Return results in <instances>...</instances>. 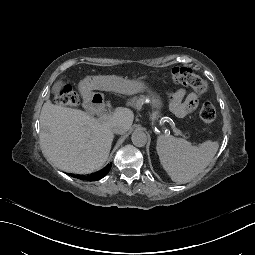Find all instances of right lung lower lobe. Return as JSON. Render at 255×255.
<instances>
[{"instance_id": "right-lung-lower-lobe-1", "label": "right lung lower lobe", "mask_w": 255, "mask_h": 255, "mask_svg": "<svg viewBox=\"0 0 255 255\" xmlns=\"http://www.w3.org/2000/svg\"><path fill=\"white\" fill-rule=\"evenodd\" d=\"M71 176L72 177H75V176H73L72 174H71ZM105 175H102L100 178H97L96 180H87V181H97V180H99V179H101V178H103ZM75 178H79V177H75ZM79 179H81V178H79ZM83 180V179H82Z\"/></svg>"}]
</instances>
